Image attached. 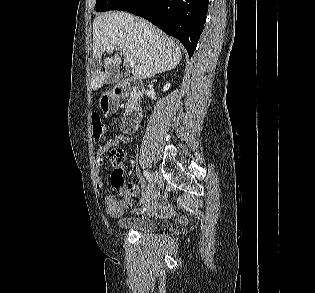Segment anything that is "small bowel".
Instances as JSON below:
<instances>
[{
	"mask_svg": "<svg viewBox=\"0 0 315 293\" xmlns=\"http://www.w3.org/2000/svg\"><path fill=\"white\" fill-rule=\"evenodd\" d=\"M127 140L128 137L126 135H117L112 137L107 143L98 149L96 157L99 158L110 147L119 143H126ZM96 171H98V166L96 167ZM128 186L132 187L134 190H125L124 195L126 198L124 200H117L112 194L102 196V200L105 203L106 210L109 214L117 215L123 212L131 202H136L138 188L134 185ZM96 187L99 191L103 188V184L99 179L96 180ZM174 212L173 206L161 194L154 193L148 201V213L153 216L168 218L173 215Z\"/></svg>",
	"mask_w": 315,
	"mask_h": 293,
	"instance_id": "small-bowel-1",
	"label": "small bowel"
}]
</instances>
